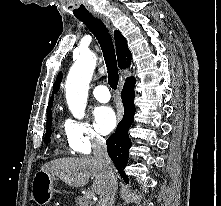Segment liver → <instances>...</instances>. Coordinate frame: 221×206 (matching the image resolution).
<instances>
[{"mask_svg": "<svg viewBox=\"0 0 221 206\" xmlns=\"http://www.w3.org/2000/svg\"><path fill=\"white\" fill-rule=\"evenodd\" d=\"M41 171L57 176L73 187L86 185L89 179L94 178L92 192L101 195L106 177L95 157H74L54 159L41 167Z\"/></svg>", "mask_w": 221, "mask_h": 206, "instance_id": "liver-1", "label": "liver"}]
</instances>
